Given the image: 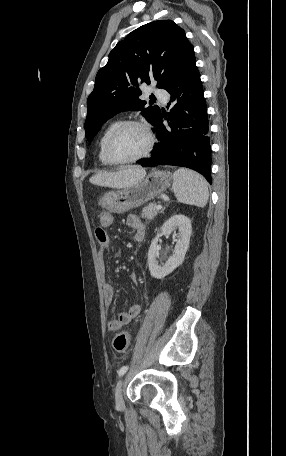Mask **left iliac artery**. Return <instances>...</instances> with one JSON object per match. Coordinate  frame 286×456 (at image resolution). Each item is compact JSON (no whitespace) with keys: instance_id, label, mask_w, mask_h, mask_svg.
Listing matches in <instances>:
<instances>
[{"instance_id":"44dca946","label":"left iliac artery","mask_w":286,"mask_h":456,"mask_svg":"<svg viewBox=\"0 0 286 456\" xmlns=\"http://www.w3.org/2000/svg\"><path fill=\"white\" fill-rule=\"evenodd\" d=\"M128 368H129V367H128L127 365H126V366H122V367L119 369V371H118L119 377L123 376V375L127 372Z\"/></svg>"}]
</instances>
